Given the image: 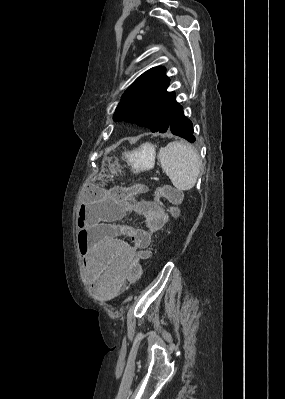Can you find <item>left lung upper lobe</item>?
<instances>
[{
    "label": "left lung upper lobe",
    "mask_w": 285,
    "mask_h": 399,
    "mask_svg": "<svg viewBox=\"0 0 285 399\" xmlns=\"http://www.w3.org/2000/svg\"><path fill=\"white\" fill-rule=\"evenodd\" d=\"M164 67H154L141 76L124 92L113 119L165 133L179 106L174 92H167L169 78Z\"/></svg>",
    "instance_id": "1"
}]
</instances>
